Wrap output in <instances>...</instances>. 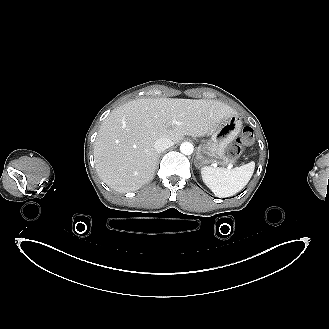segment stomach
<instances>
[{"mask_svg": "<svg viewBox=\"0 0 329 329\" xmlns=\"http://www.w3.org/2000/svg\"><path fill=\"white\" fill-rule=\"evenodd\" d=\"M242 128V120L238 114H232L223 119L197 155V164L226 165L233 163L234 158L226 154L228 145L238 136Z\"/></svg>", "mask_w": 329, "mask_h": 329, "instance_id": "stomach-1", "label": "stomach"}]
</instances>
